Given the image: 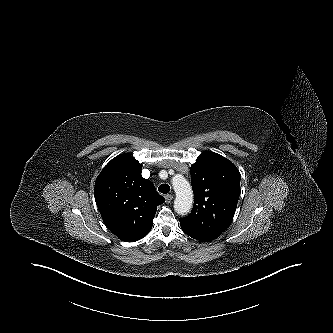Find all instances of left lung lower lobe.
I'll use <instances>...</instances> for the list:
<instances>
[{"label":"left lung lower lobe","mask_w":333,"mask_h":333,"mask_svg":"<svg viewBox=\"0 0 333 333\" xmlns=\"http://www.w3.org/2000/svg\"><path fill=\"white\" fill-rule=\"evenodd\" d=\"M182 228V230L187 234V235H189L190 237H192V238H194V239H197V240H200V241H211V239H209V238H207V237H205V236H202V235H200V234H198V233H195V232H193V231H190V230H188V229H186V228H183V227H181Z\"/></svg>","instance_id":"1"}]
</instances>
